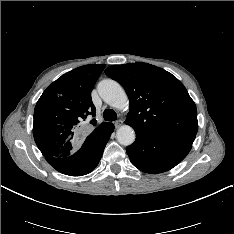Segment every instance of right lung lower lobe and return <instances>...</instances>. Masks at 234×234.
<instances>
[{
  "label": "right lung lower lobe",
  "instance_id": "98d812e1",
  "mask_svg": "<svg viewBox=\"0 0 234 234\" xmlns=\"http://www.w3.org/2000/svg\"><path fill=\"white\" fill-rule=\"evenodd\" d=\"M113 130V124L107 123L93 131L73 154L66 157H47L46 160L63 174L70 176L88 174L98 165Z\"/></svg>",
  "mask_w": 234,
  "mask_h": 234
}]
</instances>
